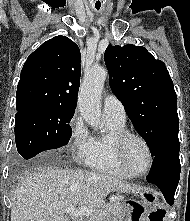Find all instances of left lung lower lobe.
<instances>
[{"instance_id":"left-lung-lower-lobe-1","label":"left lung lower lobe","mask_w":190,"mask_h":221,"mask_svg":"<svg viewBox=\"0 0 190 221\" xmlns=\"http://www.w3.org/2000/svg\"><path fill=\"white\" fill-rule=\"evenodd\" d=\"M179 141L170 142L160 148L154 160L147 182L160 188L168 204H174V194L180 177Z\"/></svg>"}]
</instances>
